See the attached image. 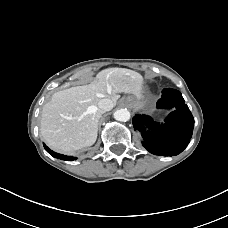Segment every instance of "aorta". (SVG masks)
<instances>
[{
	"label": "aorta",
	"instance_id": "762f6f07",
	"mask_svg": "<svg viewBox=\"0 0 228 228\" xmlns=\"http://www.w3.org/2000/svg\"><path fill=\"white\" fill-rule=\"evenodd\" d=\"M114 118L117 121L126 122L130 119V112L127 109H119L114 112Z\"/></svg>",
	"mask_w": 228,
	"mask_h": 228
}]
</instances>
